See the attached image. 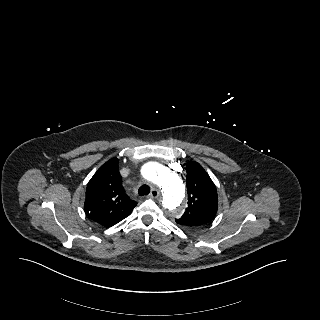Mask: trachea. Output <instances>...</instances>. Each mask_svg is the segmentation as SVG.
<instances>
[{
    "instance_id": "trachea-1",
    "label": "trachea",
    "mask_w": 320,
    "mask_h": 320,
    "mask_svg": "<svg viewBox=\"0 0 320 320\" xmlns=\"http://www.w3.org/2000/svg\"><path fill=\"white\" fill-rule=\"evenodd\" d=\"M149 192H150V188L148 185H142L138 190V194L140 196L147 195L149 194Z\"/></svg>"
}]
</instances>
